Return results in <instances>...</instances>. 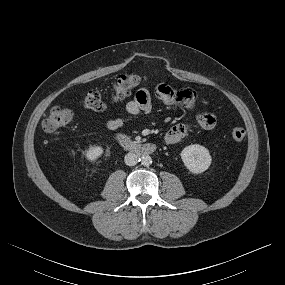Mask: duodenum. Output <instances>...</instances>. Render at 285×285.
I'll return each mask as SVG.
<instances>
[{"label":"duodenum","mask_w":285,"mask_h":285,"mask_svg":"<svg viewBox=\"0 0 285 285\" xmlns=\"http://www.w3.org/2000/svg\"><path fill=\"white\" fill-rule=\"evenodd\" d=\"M116 139L124 149L137 155H150L156 150V146L152 143L134 142L123 134H117Z\"/></svg>","instance_id":"duodenum-1"}]
</instances>
